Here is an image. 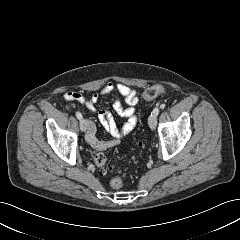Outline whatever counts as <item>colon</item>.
Segmentation results:
<instances>
[{"mask_svg":"<svg viewBox=\"0 0 240 240\" xmlns=\"http://www.w3.org/2000/svg\"><path fill=\"white\" fill-rule=\"evenodd\" d=\"M163 93H164V87H162L160 85H155V86H151V87L147 88L146 90H144L142 97L144 100L149 101V100H153V99L157 98L158 96L162 95ZM95 164L103 172H107L110 169V167L107 163V159H106L105 155L102 153H99L95 156ZM110 185H111V187L118 189V188L122 187L123 180L119 176L113 177L110 181Z\"/></svg>","mask_w":240,"mask_h":240,"instance_id":"5ec220e1","label":"colon"}]
</instances>
